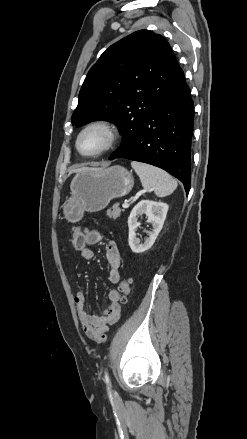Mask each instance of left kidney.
<instances>
[{"label":"left kidney","instance_id":"5707ae66","mask_svg":"<svg viewBox=\"0 0 247 439\" xmlns=\"http://www.w3.org/2000/svg\"><path fill=\"white\" fill-rule=\"evenodd\" d=\"M167 211L168 205L166 203L151 200H142L132 209L128 218V242L134 253H142L152 247L163 227ZM143 214H146L147 222L152 224L153 230L149 232V237L145 239L144 243H141L140 239L136 237V231L140 226L138 217Z\"/></svg>","mask_w":247,"mask_h":439}]
</instances>
